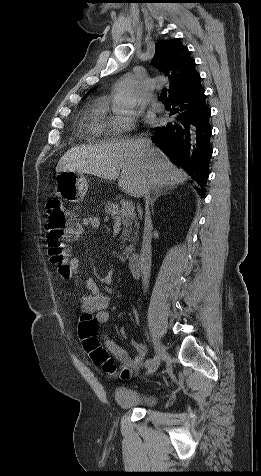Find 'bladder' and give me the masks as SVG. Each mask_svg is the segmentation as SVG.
<instances>
[{
    "label": "bladder",
    "mask_w": 261,
    "mask_h": 476,
    "mask_svg": "<svg viewBox=\"0 0 261 476\" xmlns=\"http://www.w3.org/2000/svg\"><path fill=\"white\" fill-rule=\"evenodd\" d=\"M114 399L122 408H150L156 404L157 397L152 393H142L137 390L118 387L114 391Z\"/></svg>",
    "instance_id": "bladder-1"
}]
</instances>
